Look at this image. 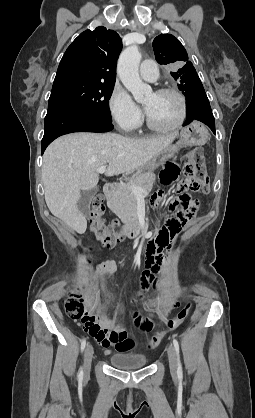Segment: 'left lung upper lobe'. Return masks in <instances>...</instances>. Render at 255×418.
Instances as JSON below:
<instances>
[{
	"mask_svg": "<svg viewBox=\"0 0 255 418\" xmlns=\"http://www.w3.org/2000/svg\"><path fill=\"white\" fill-rule=\"evenodd\" d=\"M153 49L159 64L174 66L170 74L186 97L204 91L193 64L188 61L185 48L177 38L171 34H161L154 39Z\"/></svg>",
	"mask_w": 255,
	"mask_h": 418,
	"instance_id": "obj_1",
	"label": "left lung upper lobe"
}]
</instances>
